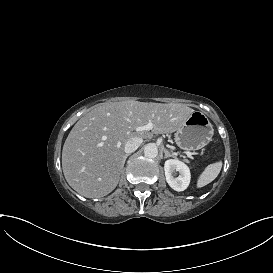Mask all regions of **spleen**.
I'll list each match as a JSON object with an SVG mask.
<instances>
[{
  "mask_svg": "<svg viewBox=\"0 0 273 273\" xmlns=\"http://www.w3.org/2000/svg\"><path fill=\"white\" fill-rule=\"evenodd\" d=\"M221 170V163L215 165H209L204 171L201 179L198 183L199 187H203L208 183L212 182L219 174Z\"/></svg>",
  "mask_w": 273,
  "mask_h": 273,
  "instance_id": "3e777b00",
  "label": "spleen"
}]
</instances>
